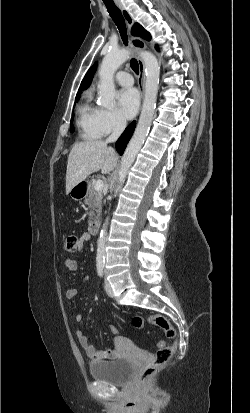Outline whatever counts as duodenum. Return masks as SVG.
<instances>
[{
  "label": "duodenum",
  "instance_id": "obj_1",
  "mask_svg": "<svg viewBox=\"0 0 250 413\" xmlns=\"http://www.w3.org/2000/svg\"><path fill=\"white\" fill-rule=\"evenodd\" d=\"M99 229H100V222L98 220L91 222L89 226V231L92 235H96L99 232Z\"/></svg>",
  "mask_w": 250,
  "mask_h": 413
}]
</instances>
